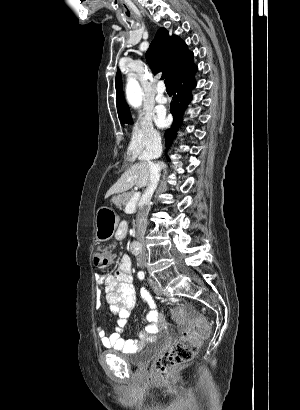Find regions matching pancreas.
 Returning a JSON list of instances; mask_svg holds the SVG:
<instances>
[{"label":"pancreas","mask_w":300,"mask_h":410,"mask_svg":"<svg viewBox=\"0 0 300 410\" xmlns=\"http://www.w3.org/2000/svg\"><path fill=\"white\" fill-rule=\"evenodd\" d=\"M135 193L132 191V192H128V193H123V194H121V195H119V196H117V199H116V201L114 202L117 206H121V205H126L129 201H130V199L132 198V196L134 195Z\"/></svg>","instance_id":"obj_1"}]
</instances>
